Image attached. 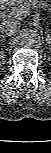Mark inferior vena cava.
<instances>
[{
	"instance_id": "1",
	"label": "inferior vena cava",
	"mask_w": 51,
	"mask_h": 153,
	"mask_svg": "<svg viewBox=\"0 0 51 153\" xmlns=\"http://www.w3.org/2000/svg\"><path fill=\"white\" fill-rule=\"evenodd\" d=\"M19 30V24L15 21L7 20L3 21L0 25V32L3 35H14L18 32Z\"/></svg>"
}]
</instances>
